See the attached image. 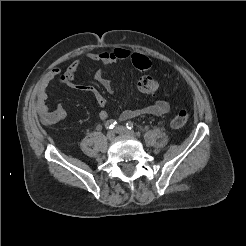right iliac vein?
I'll list each match as a JSON object with an SVG mask.
<instances>
[{
	"instance_id": "right-iliac-vein-1",
	"label": "right iliac vein",
	"mask_w": 246,
	"mask_h": 246,
	"mask_svg": "<svg viewBox=\"0 0 246 246\" xmlns=\"http://www.w3.org/2000/svg\"><path fill=\"white\" fill-rule=\"evenodd\" d=\"M114 138H115V132L112 131V130L109 131V132L107 133V139H108L109 141H113Z\"/></svg>"
}]
</instances>
